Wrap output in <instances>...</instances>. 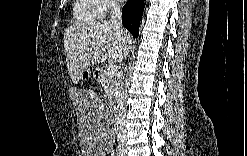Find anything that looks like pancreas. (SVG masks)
<instances>
[{
  "instance_id": "1",
  "label": "pancreas",
  "mask_w": 247,
  "mask_h": 156,
  "mask_svg": "<svg viewBox=\"0 0 247 156\" xmlns=\"http://www.w3.org/2000/svg\"><path fill=\"white\" fill-rule=\"evenodd\" d=\"M97 81L101 83L108 97H111L116 91L117 80L115 75H108L106 68H101Z\"/></svg>"
}]
</instances>
